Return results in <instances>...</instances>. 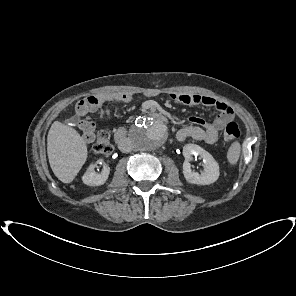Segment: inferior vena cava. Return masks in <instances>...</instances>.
Here are the masks:
<instances>
[{
  "instance_id": "inferior-vena-cava-1",
  "label": "inferior vena cava",
  "mask_w": 296,
  "mask_h": 296,
  "mask_svg": "<svg viewBox=\"0 0 296 296\" xmlns=\"http://www.w3.org/2000/svg\"><path fill=\"white\" fill-rule=\"evenodd\" d=\"M119 148L122 152H129L132 149V144L130 141L125 140L119 143Z\"/></svg>"
}]
</instances>
